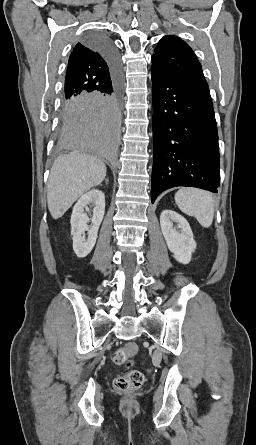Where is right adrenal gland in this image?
I'll return each instance as SVG.
<instances>
[{
    "label": "right adrenal gland",
    "mask_w": 256,
    "mask_h": 445,
    "mask_svg": "<svg viewBox=\"0 0 256 445\" xmlns=\"http://www.w3.org/2000/svg\"><path fill=\"white\" fill-rule=\"evenodd\" d=\"M105 182L107 183V182H108V179H106Z\"/></svg>",
    "instance_id": "2a0ac1e0"
}]
</instances>
